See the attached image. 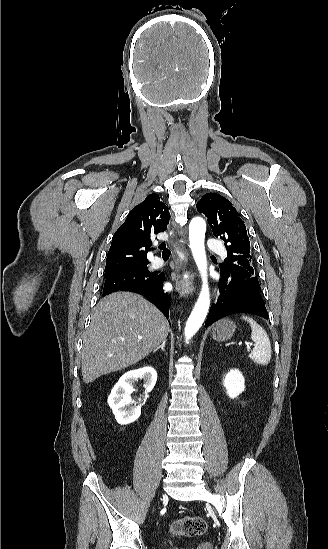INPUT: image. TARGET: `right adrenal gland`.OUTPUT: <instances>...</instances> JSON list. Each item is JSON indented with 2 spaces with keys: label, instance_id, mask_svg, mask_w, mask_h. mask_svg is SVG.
Listing matches in <instances>:
<instances>
[{
  "label": "right adrenal gland",
  "instance_id": "obj_1",
  "mask_svg": "<svg viewBox=\"0 0 328 549\" xmlns=\"http://www.w3.org/2000/svg\"><path fill=\"white\" fill-rule=\"evenodd\" d=\"M165 343H166V341H164V343H162V345H160V347H157V349H155V351H158V349H161V351H165V349H164ZM155 351H154V353H155Z\"/></svg>",
  "mask_w": 328,
  "mask_h": 549
}]
</instances>
